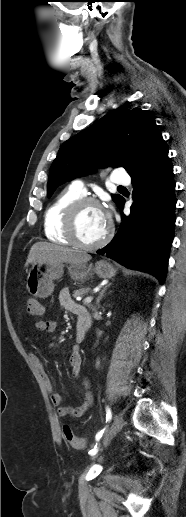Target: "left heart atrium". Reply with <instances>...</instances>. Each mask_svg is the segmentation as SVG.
Segmentation results:
<instances>
[{
  "instance_id": "obj_1",
  "label": "left heart atrium",
  "mask_w": 186,
  "mask_h": 517,
  "mask_svg": "<svg viewBox=\"0 0 186 517\" xmlns=\"http://www.w3.org/2000/svg\"><path fill=\"white\" fill-rule=\"evenodd\" d=\"M102 213H103V216L105 218V220L109 223L110 219H111V212L108 208H104L102 209Z\"/></svg>"
}]
</instances>
